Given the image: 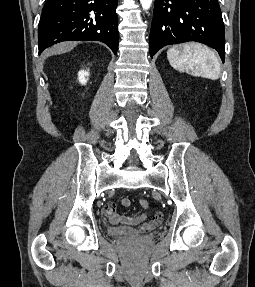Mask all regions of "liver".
Here are the masks:
<instances>
[{
  "label": "liver",
  "mask_w": 255,
  "mask_h": 287,
  "mask_svg": "<svg viewBox=\"0 0 255 287\" xmlns=\"http://www.w3.org/2000/svg\"><path fill=\"white\" fill-rule=\"evenodd\" d=\"M77 42H63V44H56L52 46L49 50L44 52V56H53V54H66V52H71L75 48Z\"/></svg>",
  "instance_id": "liver-1"
}]
</instances>
